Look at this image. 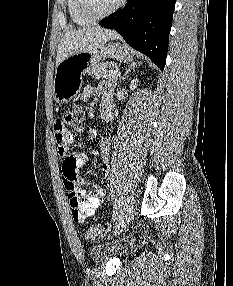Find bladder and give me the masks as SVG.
<instances>
[{
    "label": "bladder",
    "mask_w": 233,
    "mask_h": 286,
    "mask_svg": "<svg viewBox=\"0 0 233 286\" xmlns=\"http://www.w3.org/2000/svg\"><path fill=\"white\" fill-rule=\"evenodd\" d=\"M130 250L128 242L118 243L100 242L92 247L91 256L95 261H101L108 258L124 257Z\"/></svg>",
    "instance_id": "bladder-1"
}]
</instances>
